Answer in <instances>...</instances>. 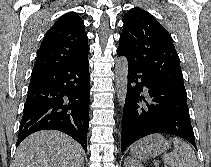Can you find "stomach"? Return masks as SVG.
<instances>
[{
  "instance_id": "stomach-1",
  "label": "stomach",
  "mask_w": 211,
  "mask_h": 167,
  "mask_svg": "<svg viewBox=\"0 0 211 167\" xmlns=\"http://www.w3.org/2000/svg\"><path fill=\"white\" fill-rule=\"evenodd\" d=\"M170 146V141L162 135L154 134L135 143L131 148V153L140 160H148L165 153Z\"/></svg>"
}]
</instances>
